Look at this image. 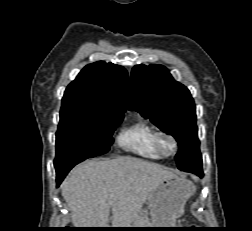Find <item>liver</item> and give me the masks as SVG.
Segmentation results:
<instances>
[{"label": "liver", "instance_id": "6515ba94", "mask_svg": "<svg viewBox=\"0 0 252 231\" xmlns=\"http://www.w3.org/2000/svg\"><path fill=\"white\" fill-rule=\"evenodd\" d=\"M175 177L168 168L133 157L88 160L72 169L61 192L77 228H130L149 196L164 180Z\"/></svg>", "mask_w": 252, "mask_h": 231}]
</instances>
